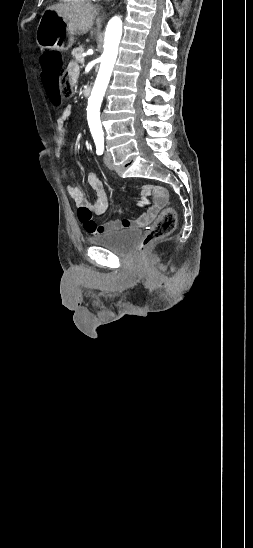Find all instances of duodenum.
<instances>
[{
  "label": "duodenum",
  "mask_w": 253,
  "mask_h": 548,
  "mask_svg": "<svg viewBox=\"0 0 253 548\" xmlns=\"http://www.w3.org/2000/svg\"><path fill=\"white\" fill-rule=\"evenodd\" d=\"M83 93L86 97L90 96L91 95V87H89V86L85 87Z\"/></svg>",
  "instance_id": "duodenum-1"
}]
</instances>
